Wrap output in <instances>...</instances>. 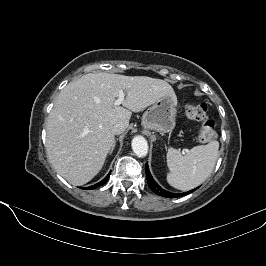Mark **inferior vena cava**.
<instances>
[{
  "label": "inferior vena cava",
  "instance_id": "602c4592",
  "mask_svg": "<svg viewBox=\"0 0 266 266\" xmlns=\"http://www.w3.org/2000/svg\"><path fill=\"white\" fill-rule=\"evenodd\" d=\"M126 129V124L122 120H115L110 124V131L114 135L121 134Z\"/></svg>",
  "mask_w": 266,
  "mask_h": 266
}]
</instances>
